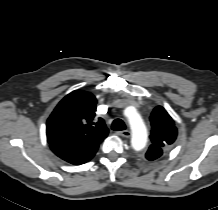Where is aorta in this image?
I'll use <instances>...</instances> for the list:
<instances>
[{"label":"aorta","mask_w":218,"mask_h":210,"mask_svg":"<svg viewBox=\"0 0 218 210\" xmlns=\"http://www.w3.org/2000/svg\"><path fill=\"white\" fill-rule=\"evenodd\" d=\"M125 115L128 118L130 129L132 132L131 144L132 147L139 151L143 149L147 143V129L141 117L137 114L134 107H128L125 110Z\"/></svg>","instance_id":"762f6f07"}]
</instances>
